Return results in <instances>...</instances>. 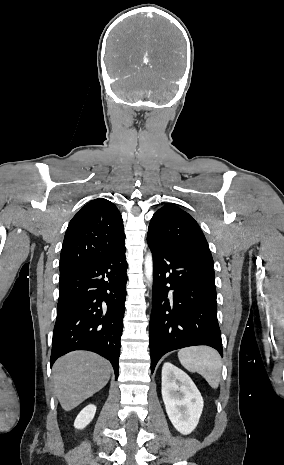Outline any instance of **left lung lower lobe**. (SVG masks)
<instances>
[{"label": "left lung lower lobe", "mask_w": 284, "mask_h": 465, "mask_svg": "<svg viewBox=\"0 0 284 465\" xmlns=\"http://www.w3.org/2000/svg\"><path fill=\"white\" fill-rule=\"evenodd\" d=\"M147 242L154 263L151 373L164 354L183 347L208 345L223 356L213 266Z\"/></svg>", "instance_id": "obj_1"}]
</instances>
